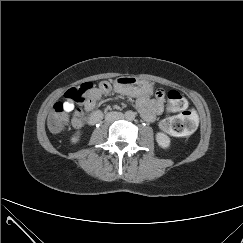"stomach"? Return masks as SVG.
Masks as SVG:
<instances>
[{
  "instance_id": "stomach-1",
  "label": "stomach",
  "mask_w": 243,
  "mask_h": 243,
  "mask_svg": "<svg viewBox=\"0 0 243 243\" xmlns=\"http://www.w3.org/2000/svg\"><path fill=\"white\" fill-rule=\"evenodd\" d=\"M115 87L123 94L138 96L151 91L150 86L143 80L134 76H122L115 81Z\"/></svg>"
}]
</instances>
